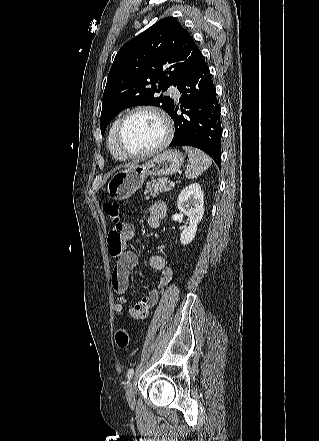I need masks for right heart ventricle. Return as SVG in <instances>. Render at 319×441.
<instances>
[{
  "instance_id": "obj_1",
  "label": "right heart ventricle",
  "mask_w": 319,
  "mask_h": 441,
  "mask_svg": "<svg viewBox=\"0 0 319 441\" xmlns=\"http://www.w3.org/2000/svg\"><path fill=\"white\" fill-rule=\"evenodd\" d=\"M118 120H119V118L116 119V120L112 123V125H111V127H110V130H109V133H108V137H107V145H108V148H109L110 154H111L115 159H117V160H125L126 157L123 156V155L119 152V150L117 149V147H116V145H115L114 135H115V128H116V125H117Z\"/></svg>"
}]
</instances>
